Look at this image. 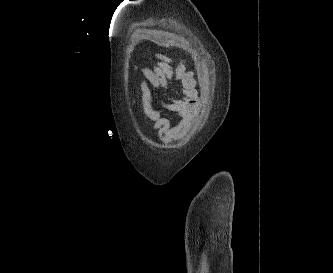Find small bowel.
I'll return each mask as SVG.
<instances>
[{"label":"small bowel","instance_id":"1","mask_svg":"<svg viewBox=\"0 0 333 273\" xmlns=\"http://www.w3.org/2000/svg\"><path fill=\"white\" fill-rule=\"evenodd\" d=\"M159 60L152 68L143 67V80L140 83V111L146 124L158 131V139L169 141L176 132L182 130L185 121L190 117L191 110L198 102L197 90L193 74L186 70L184 64L173 67V60L166 55L157 53ZM180 83L183 98L171 104L160 100V95L165 93L173 81ZM151 85V87L149 86ZM155 103L160 108L155 107ZM163 109L175 112L181 119L178 127L172 128L170 121L164 117Z\"/></svg>","mask_w":333,"mask_h":273}]
</instances>
